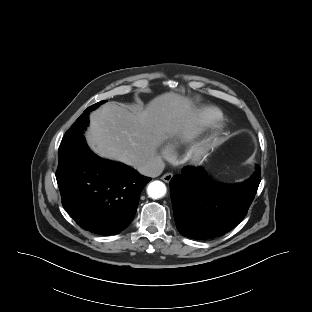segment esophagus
<instances>
[{
  "instance_id": "obj_1",
  "label": "esophagus",
  "mask_w": 312,
  "mask_h": 312,
  "mask_svg": "<svg viewBox=\"0 0 312 312\" xmlns=\"http://www.w3.org/2000/svg\"><path fill=\"white\" fill-rule=\"evenodd\" d=\"M172 177H173V174L170 173V172H168V173H165V174L161 177V179H162L164 182L168 183V182H170V180L172 179Z\"/></svg>"
}]
</instances>
